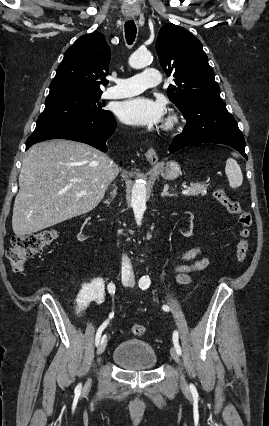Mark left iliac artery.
I'll use <instances>...</instances> for the list:
<instances>
[{"mask_svg": "<svg viewBox=\"0 0 269 426\" xmlns=\"http://www.w3.org/2000/svg\"><path fill=\"white\" fill-rule=\"evenodd\" d=\"M149 286H150V278H149L148 276H143V277L139 280V287H140L142 290H145V289H147ZM162 309H163L164 311H169V310H170L169 306H167V305H163V306H162ZM172 339H173L174 347H175V349H176L177 353H178L179 355H181L182 350H181V347H180V345H179V341H178V332H177V331H174ZM190 389H191V391H192V392H196V388H195V386H194L193 384H190Z\"/></svg>", "mask_w": 269, "mask_h": 426, "instance_id": "44dca946", "label": "left iliac artery"}]
</instances>
